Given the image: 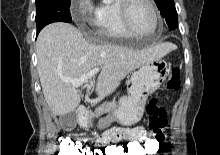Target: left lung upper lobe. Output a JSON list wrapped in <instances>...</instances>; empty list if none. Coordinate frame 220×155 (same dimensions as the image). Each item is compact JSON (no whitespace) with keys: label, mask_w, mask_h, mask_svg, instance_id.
<instances>
[{"label":"left lung upper lobe","mask_w":220,"mask_h":155,"mask_svg":"<svg viewBox=\"0 0 220 155\" xmlns=\"http://www.w3.org/2000/svg\"><path fill=\"white\" fill-rule=\"evenodd\" d=\"M158 9L163 18H165L170 29L178 26V16L174 4V0H155Z\"/></svg>","instance_id":"5c2ea615"}]
</instances>
